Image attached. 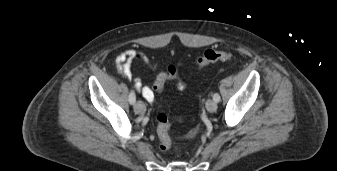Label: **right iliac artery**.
<instances>
[{"label": "right iliac artery", "mask_w": 337, "mask_h": 171, "mask_svg": "<svg viewBox=\"0 0 337 171\" xmlns=\"http://www.w3.org/2000/svg\"><path fill=\"white\" fill-rule=\"evenodd\" d=\"M135 101H136L135 92L133 90H131L130 94H129V103L130 104H134Z\"/></svg>", "instance_id": "1"}]
</instances>
